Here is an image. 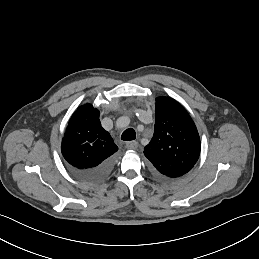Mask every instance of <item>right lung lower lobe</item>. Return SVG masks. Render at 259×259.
<instances>
[{
  "instance_id": "obj_1",
  "label": "right lung lower lobe",
  "mask_w": 259,
  "mask_h": 259,
  "mask_svg": "<svg viewBox=\"0 0 259 259\" xmlns=\"http://www.w3.org/2000/svg\"><path fill=\"white\" fill-rule=\"evenodd\" d=\"M115 164L114 156L105 160L100 165L89 169H78L69 166L70 172L78 179L85 182H97L107 176Z\"/></svg>"
}]
</instances>
